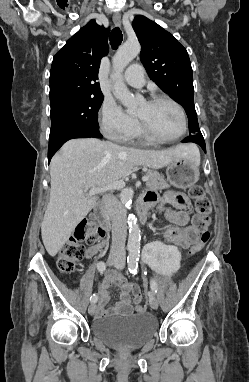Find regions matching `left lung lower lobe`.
Segmentation results:
<instances>
[{
  "mask_svg": "<svg viewBox=\"0 0 249 382\" xmlns=\"http://www.w3.org/2000/svg\"><path fill=\"white\" fill-rule=\"evenodd\" d=\"M183 143L185 142H193V143H196L198 144L199 146H201V148L204 150V152L206 153V147H205V142H204V139H203V136L202 134H193V135H189L187 138H185L183 141Z\"/></svg>",
  "mask_w": 249,
  "mask_h": 382,
  "instance_id": "left-lung-lower-lobe-1",
  "label": "left lung lower lobe"
}]
</instances>
